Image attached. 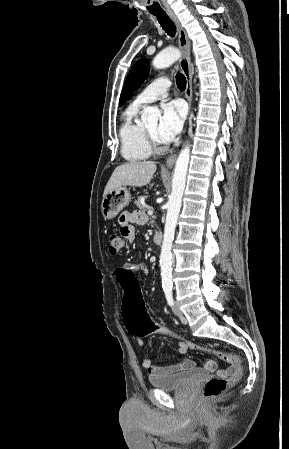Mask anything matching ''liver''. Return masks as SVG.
<instances>
[{
	"label": "liver",
	"instance_id": "6515ba94",
	"mask_svg": "<svg viewBox=\"0 0 289 449\" xmlns=\"http://www.w3.org/2000/svg\"><path fill=\"white\" fill-rule=\"evenodd\" d=\"M156 171L153 161L129 162L115 168L104 190L105 197L111 190L121 186L142 187L150 183Z\"/></svg>",
	"mask_w": 289,
	"mask_h": 449
}]
</instances>
